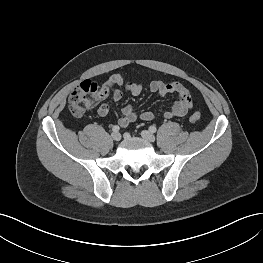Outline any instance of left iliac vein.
Returning a JSON list of instances; mask_svg holds the SVG:
<instances>
[{"label":"left iliac vein","instance_id":"4c4485c4","mask_svg":"<svg viewBox=\"0 0 263 263\" xmlns=\"http://www.w3.org/2000/svg\"><path fill=\"white\" fill-rule=\"evenodd\" d=\"M141 136L146 139L149 142H154L155 141V136L152 132L148 131V130H143L141 132Z\"/></svg>","mask_w":263,"mask_h":263}]
</instances>
